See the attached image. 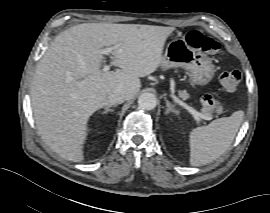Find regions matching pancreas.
I'll return each mask as SVG.
<instances>
[{
	"instance_id": "pancreas-1",
	"label": "pancreas",
	"mask_w": 270,
	"mask_h": 213,
	"mask_svg": "<svg viewBox=\"0 0 270 213\" xmlns=\"http://www.w3.org/2000/svg\"><path fill=\"white\" fill-rule=\"evenodd\" d=\"M182 98H184V97H186L187 95H188V93H187V91H182V92H180V94H179Z\"/></svg>"
}]
</instances>
